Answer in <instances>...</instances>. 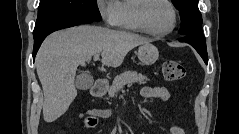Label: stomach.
<instances>
[{
    "label": "stomach",
    "mask_w": 239,
    "mask_h": 134,
    "mask_svg": "<svg viewBox=\"0 0 239 134\" xmlns=\"http://www.w3.org/2000/svg\"><path fill=\"white\" fill-rule=\"evenodd\" d=\"M159 57V51L153 44L145 43L138 49V58L143 65L149 66L154 64Z\"/></svg>",
    "instance_id": "1"
}]
</instances>
